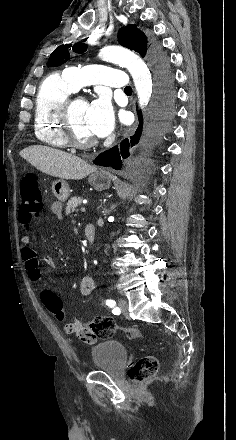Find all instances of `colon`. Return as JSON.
Wrapping results in <instances>:
<instances>
[{"instance_id": "colon-1", "label": "colon", "mask_w": 236, "mask_h": 440, "mask_svg": "<svg viewBox=\"0 0 236 440\" xmlns=\"http://www.w3.org/2000/svg\"><path fill=\"white\" fill-rule=\"evenodd\" d=\"M20 220L24 224H29L32 219L38 216L43 210V196L37 177L33 173L25 174L21 179L20 184ZM42 299L45 307L54 314L59 320L65 317L63 302L59 296L50 290H46L42 294ZM88 330L93 331L94 336L91 339H106L111 337L120 327L115 321L108 317H96L91 321L85 323ZM125 333L132 338L140 337L141 334L136 328H125ZM159 367L158 359L154 356L147 355L141 357L136 364L129 371V378L135 383L146 381L153 377Z\"/></svg>"}]
</instances>
